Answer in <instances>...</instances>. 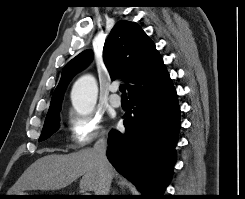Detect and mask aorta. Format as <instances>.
<instances>
[{"label":"aorta","instance_id":"762f6f07","mask_svg":"<svg viewBox=\"0 0 245 199\" xmlns=\"http://www.w3.org/2000/svg\"><path fill=\"white\" fill-rule=\"evenodd\" d=\"M97 83L93 76L84 75L74 84L71 100L74 109L79 114H89L93 111L97 101Z\"/></svg>","mask_w":245,"mask_h":199}]
</instances>
